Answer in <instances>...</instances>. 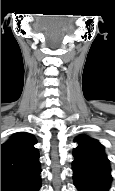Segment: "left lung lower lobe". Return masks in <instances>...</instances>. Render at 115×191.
<instances>
[{
  "label": "left lung lower lobe",
  "instance_id": "1",
  "mask_svg": "<svg viewBox=\"0 0 115 191\" xmlns=\"http://www.w3.org/2000/svg\"><path fill=\"white\" fill-rule=\"evenodd\" d=\"M73 178L78 191H109L111 170L93 163L73 162Z\"/></svg>",
  "mask_w": 115,
  "mask_h": 191
}]
</instances>
